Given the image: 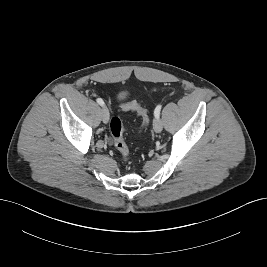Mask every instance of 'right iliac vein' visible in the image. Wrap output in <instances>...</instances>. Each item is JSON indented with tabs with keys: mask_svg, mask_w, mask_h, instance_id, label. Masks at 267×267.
Here are the masks:
<instances>
[{
	"mask_svg": "<svg viewBox=\"0 0 267 267\" xmlns=\"http://www.w3.org/2000/svg\"><path fill=\"white\" fill-rule=\"evenodd\" d=\"M101 118H102V121L105 124L108 123V121H109V112H108L107 107H105V106L101 109Z\"/></svg>",
	"mask_w": 267,
	"mask_h": 267,
	"instance_id": "1",
	"label": "right iliac vein"
}]
</instances>
